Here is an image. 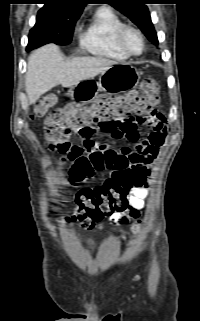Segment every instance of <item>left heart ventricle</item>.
Instances as JSON below:
<instances>
[{"label":"left heart ventricle","mask_w":200,"mask_h":321,"mask_svg":"<svg viewBox=\"0 0 200 321\" xmlns=\"http://www.w3.org/2000/svg\"><path fill=\"white\" fill-rule=\"evenodd\" d=\"M125 45L126 47L134 53H137L141 50V41L136 33L133 31H128L125 35Z\"/></svg>","instance_id":"left-heart-ventricle-1"}]
</instances>
